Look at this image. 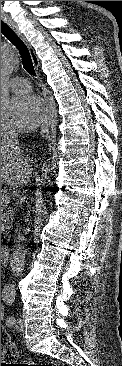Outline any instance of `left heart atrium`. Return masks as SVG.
<instances>
[{
  "label": "left heart atrium",
  "mask_w": 122,
  "mask_h": 366,
  "mask_svg": "<svg viewBox=\"0 0 122 366\" xmlns=\"http://www.w3.org/2000/svg\"><path fill=\"white\" fill-rule=\"evenodd\" d=\"M44 115V106L35 95H22L12 98L8 122L14 128L27 130L35 128Z\"/></svg>",
  "instance_id": "39dd6f15"
}]
</instances>
